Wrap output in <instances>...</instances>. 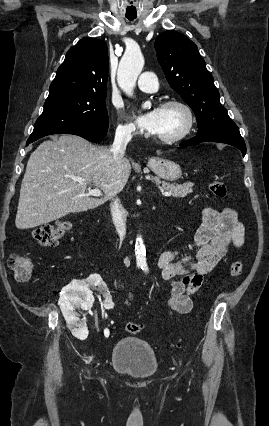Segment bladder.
Instances as JSON below:
<instances>
[{
  "label": "bladder",
  "mask_w": 269,
  "mask_h": 426,
  "mask_svg": "<svg viewBox=\"0 0 269 426\" xmlns=\"http://www.w3.org/2000/svg\"><path fill=\"white\" fill-rule=\"evenodd\" d=\"M110 363L114 369L135 377L151 376L158 368L154 350L137 337L120 339L113 346Z\"/></svg>",
  "instance_id": "bladder-1"
}]
</instances>
